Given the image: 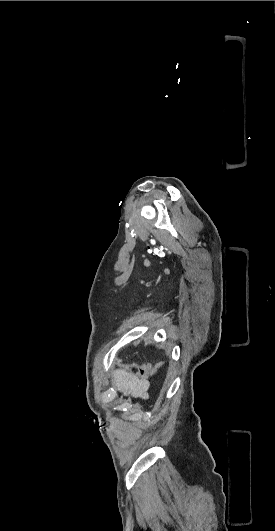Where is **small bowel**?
Masks as SVG:
<instances>
[{
	"label": "small bowel",
	"mask_w": 275,
	"mask_h": 531,
	"mask_svg": "<svg viewBox=\"0 0 275 531\" xmlns=\"http://www.w3.org/2000/svg\"><path fill=\"white\" fill-rule=\"evenodd\" d=\"M112 383L119 391L133 398L146 400L149 396V380L131 375L124 370H116L112 373Z\"/></svg>",
	"instance_id": "1"
}]
</instances>
